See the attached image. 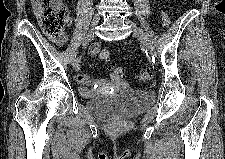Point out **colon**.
I'll return each instance as SVG.
<instances>
[{"label":"colon","mask_w":225,"mask_h":159,"mask_svg":"<svg viewBox=\"0 0 225 159\" xmlns=\"http://www.w3.org/2000/svg\"><path fill=\"white\" fill-rule=\"evenodd\" d=\"M36 10L40 17V23L44 31L57 38L64 37V30L70 22L67 7L61 0H37ZM161 20L164 25L170 23L169 15L166 10L161 11ZM99 58L104 61H109L111 58L110 51L102 49L97 52ZM112 77L119 80L124 77V68L114 63L111 65ZM140 80L147 82L152 79V72L145 69L140 73Z\"/></svg>","instance_id":"1"}]
</instances>
